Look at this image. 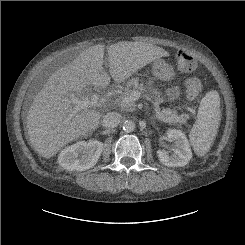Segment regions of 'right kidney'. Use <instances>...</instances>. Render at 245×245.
Instances as JSON below:
<instances>
[{"label":"right kidney","mask_w":245,"mask_h":245,"mask_svg":"<svg viewBox=\"0 0 245 245\" xmlns=\"http://www.w3.org/2000/svg\"><path fill=\"white\" fill-rule=\"evenodd\" d=\"M103 143L97 140L80 141L61 151L59 165L69 171H84L92 168L100 158Z\"/></svg>","instance_id":"ca27d5eb"}]
</instances>
